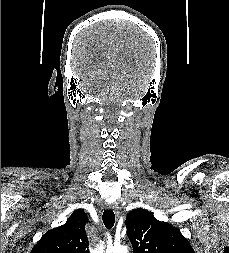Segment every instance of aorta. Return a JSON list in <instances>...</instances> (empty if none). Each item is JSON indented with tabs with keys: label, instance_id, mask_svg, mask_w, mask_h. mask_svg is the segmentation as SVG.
Here are the masks:
<instances>
[{
	"label": "aorta",
	"instance_id": "obj_1",
	"mask_svg": "<svg viewBox=\"0 0 229 253\" xmlns=\"http://www.w3.org/2000/svg\"><path fill=\"white\" fill-rule=\"evenodd\" d=\"M106 253H128V249L124 245H117L108 248Z\"/></svg>",
	"mask_w": 229,
	"mask_h": 253
}]
</instances>
